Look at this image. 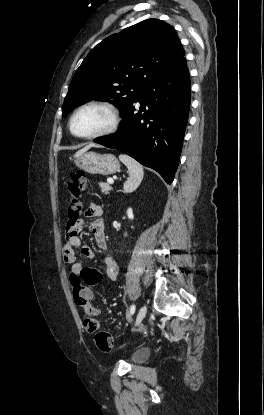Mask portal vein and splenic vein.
Masks as SVG:
<instances>
[{
	"label": "portal vein and splenic vein",
	"mask_w": 264,
	"mask_h": 415,
	"mask_svg": "<svg viewBox=\"0 0 264 415\" xmlns=\"http://www.w3.org/2000/svg\"><path fill=\"white\" fill-rule=\"evenodd\" d=\"M108 183L109 184H113L114 183V180L113 179H108Z\"/></svg>",
	"instance_id": "obj_1"
}]
</instances>
